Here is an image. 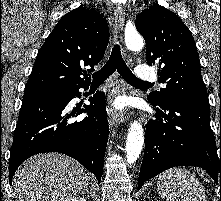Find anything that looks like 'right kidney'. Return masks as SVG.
Wrapping results in <instances>:
<instances>
[{"mask_svg":"<svg viewBox=\"0 0 221 201\" xmlns=\"http://www.w3.org/2000/svg\"><path fill=\"white\" fill-rule=\"evenodd\" d=\"M68 201H86V199L84 197H76V198H71Z\"/></svg>","mask_w":221,"mask_h":201,"instance_id":"obj_1","label":"right kidney"}]
</instances>
